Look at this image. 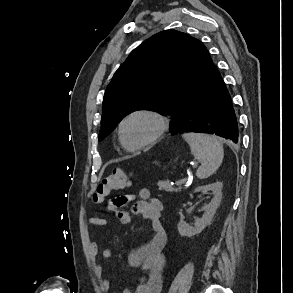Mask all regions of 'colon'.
I'll use <instances>...</instances> for the list:
<instances>
[{
  "label": "colon",
  "mask_w": 293,
  "mask_h": 293,
  "mask_svg": "<svg viewBox=\"0 0 293 293\" xmlns=\"http://www.w3.org/2000/svg\"><path fill=\"white\" fill-rule=\"evenodd\" d=\"M130 180L131 173L122 169L112 170L103 177L97 186L95 199L101 200L116 190L128 187L130 185Z\"/></svg>",
  "instance_id": "1"
}]
</instances>
